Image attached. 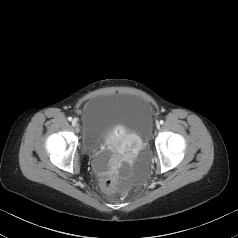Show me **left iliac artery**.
<instances>
[{
	"label": "left iliac artery",
	"mask_w": 238,
	"mask_h": 238,
	"mask_svg": "<svg viewBox=\"0 0 238 238\" xmlns=\"http://www.w3.org/2000/svg\"><path fill=\"white\" fill-rule=\"evenodd\" d=\"M164 123V121L163 120H160V124H163Z\"/></svg>",
	"instance_id": "left-iliac-artery-1"
}]
</instances>
